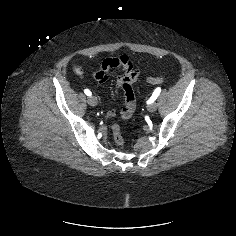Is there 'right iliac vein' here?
<instances>
[{"label":"right iliac vein","instance_id":"obj_1","mask_svg":"<svg viewBox=\"0 0 236 236\" xmlns=\"http://www.w3.org/2000/svg\"><path fill=\"white\" fill-rule=\"evenodd\" d=\"M87 102L92 107H95L97 105V99L94 96H89Z\"/></svg>","mask_w":236,"mask_h":236}]
</instances>
